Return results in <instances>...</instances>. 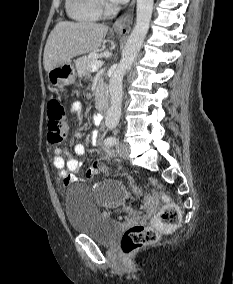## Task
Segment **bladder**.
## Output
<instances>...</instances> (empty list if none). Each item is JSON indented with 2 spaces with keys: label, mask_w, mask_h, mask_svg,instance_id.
<instances>
[{
  "label": "bladder",
  "mask_w": 233,
  "mask_h": 284,
  "mask_svg": "<svg viewBox=\"0 0 233 284\" xmlns=\"http://www.w3.org/2000/svg\"><path fill=\"white\" fill-rule=\"evenodd\" d=\"M126 196L122 185L111 182L103 185L98 195L84 185H72L65 198V214L72 231L89 236L101 244L111 243L120 224L103 212L99 203H116Z\"/></svg>",
  "instance_id": "31cf9c89"
}]
</instances>
